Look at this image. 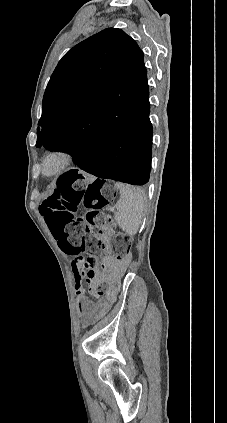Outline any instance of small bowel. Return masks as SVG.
<instances>
[{
  "label": "small bowel",
  "instance_id": "1",
  "mask_svg": "<svg viewBox=\"0 0 227 423\" xmlns=\"http://www.w3.org/2000/svg\"><path fill=\"white\" fill-rule=\"evenodd\" d=\"M124 265L116 263L111 257L104 258L102 269L108 271L109 277L118 273ZM78 295V311L82 317L83 326H89L101 319L110 309L114 297L110 295L107 299L95 303L84 295V289L80 284L75 286Z\"/></svg>",
  "mask_w": 227,
  "mask_h": 423
}]
</instances>
